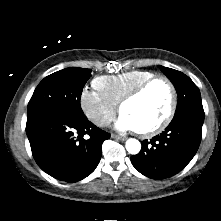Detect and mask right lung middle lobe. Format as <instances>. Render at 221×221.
<instances>
[{
	"label": "right lung middle lobe",
	"mask_w": 221,
	"mask_h": 221,
	"mask_svg": "<svg viewBox=\"0 0 221 221\" xmlns=\"http://www.w3.org/2000/svg\"><path fill=\"white\" fill-rule=\"evenodd\" d=\"M90 76V69L70 67L45 77L28 103L27 118L54 111L82 114L80 98Z\"/></svg>",
	"instance_id": "1"
}]
</instances>
